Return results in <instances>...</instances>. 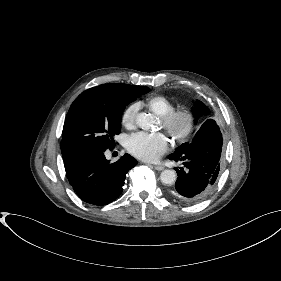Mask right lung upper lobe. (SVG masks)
I'll return each mask as SVG.
<instances>
[{
	"label": "right lung upper lobe",
	"instance_id": "obj_1",
	"mask_svg": "<svg viewBox=\"0 0 281 281\" xmlns=\"http://www.w3.org/2000/svg\"><path fill=\"white\" fill-rule=\"evenodd\" d=\"M138 86L128 85V84H121V83H110L100 85L98 87L99 90H102L106 93L113 94V95H130L132 94Z\"/></svg>",
	"mask_w": 281,
	"mask_h": 281
}]
</instances>
